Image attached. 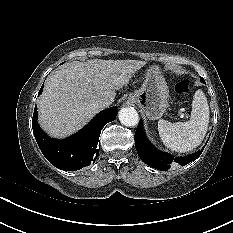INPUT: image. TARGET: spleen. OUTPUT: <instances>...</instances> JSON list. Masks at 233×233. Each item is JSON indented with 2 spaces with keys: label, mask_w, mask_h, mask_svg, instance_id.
<instances>
[{
  "label": "spleen",
  "mask_w": 233,
  "mask_h": 233,
  "mask_svg": "<svg viewBox=\"0 0 233 233\" xmlns=\"http://www.w3.org/2000/svg\"><path fill=\"white\" fill-rule=\"evenodd\" d=\"M209 106L202 90H197L192 101L190 120L171 123L158 121V131L164 145L176 152H188L198 147L208 129Z\"/></svg>",
  "instance_id": "spleen-1"
}]
</instances>
